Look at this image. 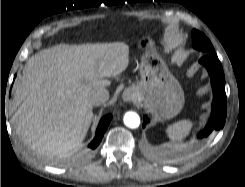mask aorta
<instances>
[{"label": "aorta", "instance_id": "1", "mask_svg": "<svg viewBox=\"0 0 245 187\" xmlns=\"http://www.w3.org/2000/svg\"><path fill=\"white\" fill-rule=\"evenodd\" d=\"M124 124L129 127V128H137L140 125V117L137 113L135 112H127L124 115Z\"/></svg>", "mask_w": 245, "mask_h": 187}]
</instances>
